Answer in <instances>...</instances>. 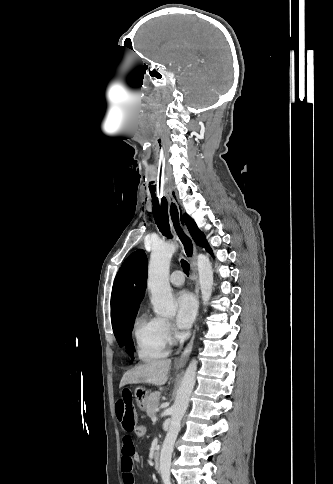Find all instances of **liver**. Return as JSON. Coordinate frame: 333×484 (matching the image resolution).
Listing matches in <instances>:
<instances>
[{"instance_id":"1","label":"liver","mask_w":333,"mask_h":484,"mask_svg":"<svg viewBox=\"0 0 333 484\" xmlns=\"http://www.w3.org/2000/svg\"><path fill=\"white\" fill-rule=\"evenodd\" d=\"M170 368V359L152 360L145 364L135 366L123 375L120 381V387L136 383H149L155 386H162L168 380Z\"/></svg>"}]
</instances>
